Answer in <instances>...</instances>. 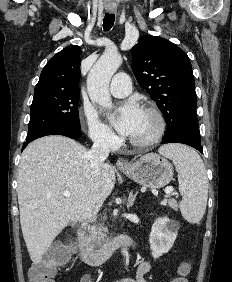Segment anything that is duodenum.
I'll list each match as a JSON object with an SVG mask.
<instances>
[{"label":"duodenum","instance_id":"duodenum-1","mask_svg":"<svg viewBox=\"0 0 232 282\" xmlns=\"http://www.w3.org/2000/svg\"><path fill=\"white\" fill-rule=\"evenodd\" d=\"M132 244L129 236L121 235L113 238L100 248H95L89 242L84 229L77 232V246L82 260L91 266H98L107 261L119 248L128 247Z\"/></svg>","mask_w":232,"mask_h":282}]
</instances>
